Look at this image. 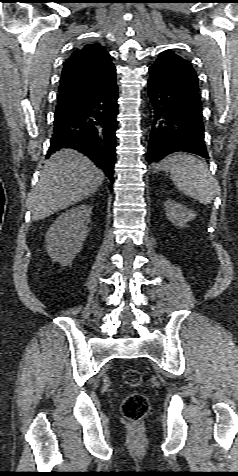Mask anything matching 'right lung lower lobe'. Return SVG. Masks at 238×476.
<instances>
[{
    "mask_svg": "<svg viewBox=\"0 0 238 476\" xmlns=\"http://www.w3.org/2000/svg\"><path fill=\"white\" fill-rule=\"evenodd\" d=\"M117 99L115 81L86 103L60 116L55 115L47 157L60 148H73L88 156L112 182L116 158Z\"/></svg>",
    "mask_w": 238,
    "mask_h": 476,
    "instance_id": "98d812e1",
    "label": "right lung lower lobe"
}]
</instances>
